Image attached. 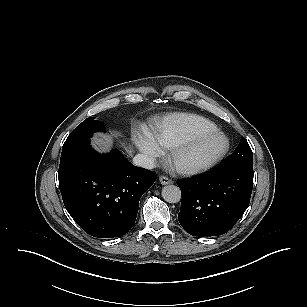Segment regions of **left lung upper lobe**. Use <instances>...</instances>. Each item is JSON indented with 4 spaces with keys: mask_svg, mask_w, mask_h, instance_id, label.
Returning <instances> with one entry per match:
<instances>
[{
    "mask_svg": "<svg viewBox=\"0 0 307 307\" xmlns=\"http://www.w3.org/2000/svg\"><path fill=\"white\" fill-rule=\"evenodd\" d=\"M252 150L245 138L242 137L234 152L221 164L223 167L252 168Z\"/></svg>",
    "mask_w": 307,
    "mask_h": 307,
    "instance_id": "obj_1",
    "label": "left lung upper lobe"
}]
</instances>
